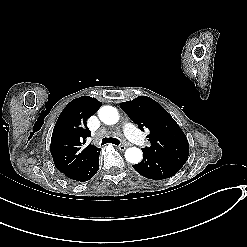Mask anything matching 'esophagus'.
Instances as JSON below:
<instances>
[{
    "label": "esophagus",
    "instance_id": "esophagus-1",
    "mask_svg": "<svg viewBox=\"0 0 247 247\" xmlns=\"http://www.w3.org/2000/svg\"><path fill=\"white\" fill-rule=\"evenodd\" d=\"M118 149L121 150V151H124L126 149V147L124 145H119Z\"/></svg>",
    "mask_w": 247,
    "mask_h": 247
}]
</instances>
